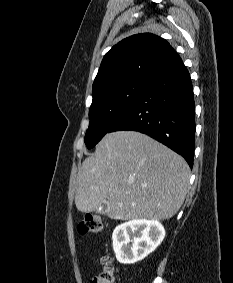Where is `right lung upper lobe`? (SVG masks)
<instances>
[{"label":"right lung upper lobe","mask_w":233,"mask_h":283,"mask_svg":"<svg viewBox=\"0 0 233 283\" xmlns=\"http://www.w3.org/2000/svg\"><path fill=\"white\" fill-rule=\"evenodd\" d=\"M181 62L163 38L151 33L130 36L105 54L93 83V97L131 81L151 82Z\"/></svg>","instance_id":"cb5924a9"}]
</instances>
